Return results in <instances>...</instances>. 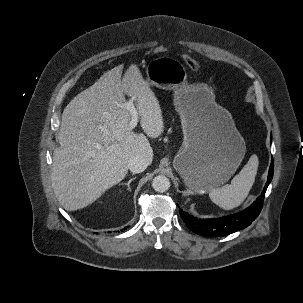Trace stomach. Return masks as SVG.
Returning <instances> with one entry per match:
<instances>
[{
	"label": "stomach",
	"mask_w": 303,
	"mask_h": 303,
	"mask_svg": "<svg viewBox=\"0 0 303 303\" xmlns=\"http://www.w3.org/2000/svg\"><path fill=\"white\" fill-rule=\"evenodd\" d=\"M146 73L150 86L174 90L184 140L173 166L186 186L204 194L226 183L246 152L230 112L215 102L206 84H189L185 67L174 58L153 59Z\"/></svg>",
	"instance_id": "1"
}]
</instances>
